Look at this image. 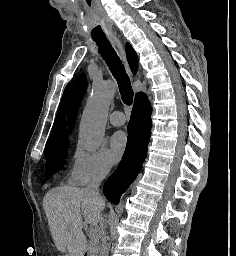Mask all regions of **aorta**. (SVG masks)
Returning <instances> with one entry per match:
<instances>
[{
    "instance_id": "1",
    "label": "aorta",
    "mask_w": 236,
    "mask_h": 256,
    "mask_svg": "<svg viewBox=\"0 0 236 256\" xmlns=\"http://www.w3.org/2000/svg\"><path fill=\"white\" fill-rule=\"evenodd\" d=\"M115 92L116 85L111 80L93 84L79 129L80 139L86 145L99 146L101 144L105 134L109 106Z\"/></svg>"
}]
</instances>
